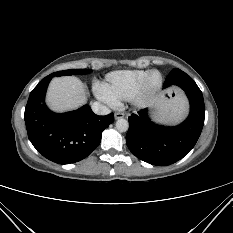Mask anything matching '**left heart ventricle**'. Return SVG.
<instances>
[{"label":"left heart ventricle","mask_w":233,"mask_h":233,"mask_svg":"<svg viewBox=\"0 0 233 233\" xmlns=\"http://www.w3.org/2000/svg\"><path fill=\"white\" fill-rule=\"evenodd\" d=\"M159 81V76L158 74H153L151 77H150V80H149V84L150 86H154L158 83Z\"/></svg>","instance_id":"1"}]
</instances>
